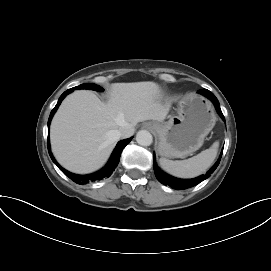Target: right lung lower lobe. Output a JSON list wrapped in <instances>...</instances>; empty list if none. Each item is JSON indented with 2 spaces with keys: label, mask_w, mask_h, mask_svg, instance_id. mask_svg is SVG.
Instances as JSON below:
<instances>
[{
  "label": "right lung lower lobe",
  "mask_w": 271,
  "mask_h": 271,
  "mask_svg": "<svg viewBox=\"0 0 271 271\" xmlns=\"http://www.w3.org/2000/svg\"><path fill=\"white\" fill-rule=\"evenodd\" d=\"M74 89L71 88L67 91H65L59 98L56 106L53 108V110L50 113L49 119H48V129L50 126V122L51 119L54 115V113L56 112L57 108L59 107V105L61 104L62 100L70 93L72 92ZM131 138L125 139V140H121L118 142L117 146L115 147V150L112 153V156L108 162V164L101 169L100 171L90 174V175H76L73 173L68 172L67 170H65L64 168H62L54 159L51 150H50V143H49V136H48V152L49 155L52 159V161L58 166V168L65 174L67 175L71 180H73L74 182H76L77 184H86L89 181H94V180H98L101 178H105V177H109L113 170L115 169V167L117 166V164L119 163V159L122 153V150L124 149V147L131 141Z\"/></svg>",
  "instance_id": "98d812e1"
}]
</instances>
